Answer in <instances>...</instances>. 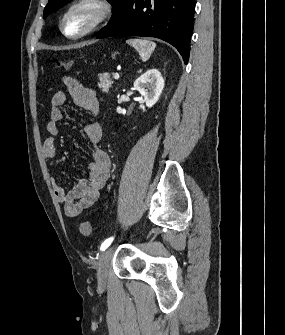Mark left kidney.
Listing matches in <instances>:
<instances>
[{"mask_svg": "<svg viewBox=\"0 0 285 335\" xmlns=\"http://www.w3.org/2000/svg\"><path fill=\"white\" fill-rule=\"evenodd\" d=\"M164 86L162 74L155 68L148 70L134 82V88L143 96L147 108H152L158 102Z\"/></svg>", "mask_w": 285, "mask_h": 335, "instance_id": "5707ae66", "label": "left kidney"}]
</instances>
